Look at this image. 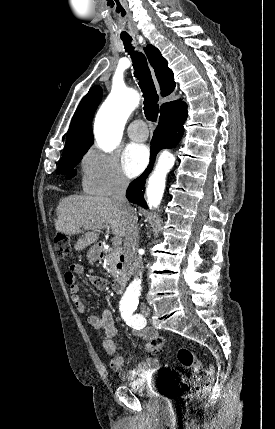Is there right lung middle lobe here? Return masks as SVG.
I'll return each instance as SVG.
<instances>
[{
    "label": "right lung middle lobe",
    "instance_id": "dd1d6c3e",
    "mask_svg": "<svg viewBox=\"0 0 275 429\" xmlns=\"http://www.w3.org/2000/svg\"><path fill=\"white\" fill-rule=\"evenodd\" d=\"M84 154L85 152L63 156L60 160L57 173L67 174V179L73 177L76 174L74 167L81 161Z\"/></svg>",
    "mask_w": 275,
    "mask_h": 429
}]
</instances>
